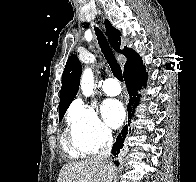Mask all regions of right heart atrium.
Wrapping results in <instances>:
<instances>
[{
	"label": "right heart atrium",
	"instance_id": "1",
	"mask_svg": "<svg viewBox=\"0 0 196 182\" xmlns=\"http://www.w3.org/2000/svg\"><path fill=\"white\" fill-rule=\"evenodd\" d=\"M68 120L72 142L83 154L96 153L111 143V131L94 106L75 103L69 110Z\"/></svg>",
	"mask_w": 196,
	"mask_h": 182
}]
</instances>
